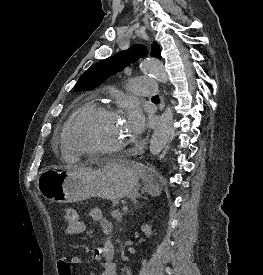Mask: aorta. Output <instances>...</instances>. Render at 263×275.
Here are the masks:
<instances>
[{"mask_svg":"<svg viewBox=\"0 0 263 275\" xmlns=\"http://www.w3.org/2000/svg\"><path fill=\"white\" fill-rule=\"evenodd\" d=\"M142 71L152 75L158 81L167 83L168 75L161 61L158 59L145 60L142 63ZM173 126V109L168 106L162 113L154 133L150 139V153L159 154L169 140Z\"/></svg>","mask_w":263,"mask_h":275,"instance_id":"aorta-1","label":"aorta"}]
</instances>
